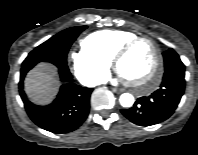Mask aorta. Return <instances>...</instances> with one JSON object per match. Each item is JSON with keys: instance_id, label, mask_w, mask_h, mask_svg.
<instances>
[{"instance_id": "762f6f07", "label": "aorta", "mask_w": 198, "mask_h": 155, "mask_svg": "<svg viewBox=\"0 0 198 155\" xmlns=\"http://www.w3.org/2000/svg\"><path fill=\"white\" fill-rule=\"evenodd\" d=\"M119 102L122 107L129 108L134 104V97L130 93H123L119 98Z\"/></svg>"}]
</instances>
